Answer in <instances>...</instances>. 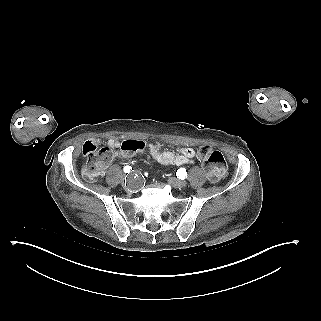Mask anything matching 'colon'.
I'll return each mask as SVG.
<instances>
[{"label":"colon","mask_w":321,"mask_h":321,"mask_svg":"<svg viewBox=\"0 0 321 321\" xmlns=\"http://www.w3.org/2000/svg\"><path fill=\"white\" fill-rule=\"evenodd\" d=\"M145 144L139 140H126L121 144V150L127 154L143 153ZM203 161V167L208 179L211 182H218L224 178L227 171V164L224 155L215 150L209 144H203L198 152ZM86 160L83 164L84 177L91 179L95 176L101 167L104 160V155L101 151L88 149L84 152Z\"/></svg>","instance_id":"obj_1"}]
</instances>
